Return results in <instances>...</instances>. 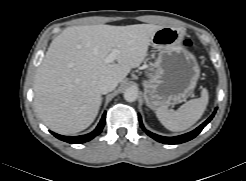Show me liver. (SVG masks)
Masks as SVG:
<instances>
[{"label": "liver", "mask_w": 246, "mask_h": 181, "mask_svg": "<svg viewBox=\"0 0 246 181\" xmlns=\"http://www.w3.org/2000/svg\"><path fill=\"white\" fill-rule=\"evenodd\" d=\"M161 28L100 24L64 29L51 42L35 75L34 106L44 124L64 135L89 127L101 105L99 79L111 76L122 82L144 61L151 38ZM115 49L117 63H107Z\"/></svg>", "instance_id": "6515ba94"}]
</instances>
